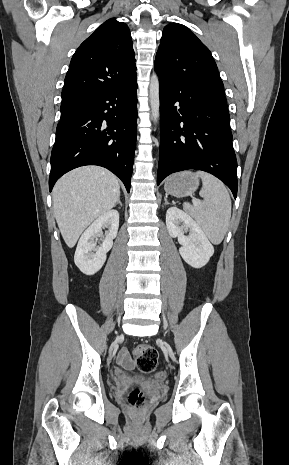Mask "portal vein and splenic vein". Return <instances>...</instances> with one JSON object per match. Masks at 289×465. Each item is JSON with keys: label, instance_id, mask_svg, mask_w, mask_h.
<instances>
[{"label": "portal vein and splenic vein", "instance_id": "obj_1", "mask_svg": "<svg viewBox=\"0 0 289 465\" xmlns=\"http://www.w3.org/2000/svg\"><path fill=\"white\" fill-rule=\"evenodd\" d=\"M194 204H195V205L199 204V201H198V200H194Z\"/></svg>", "mask_w": 289, "mask_h": 465}]
</instances>
